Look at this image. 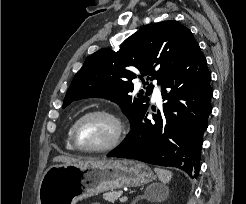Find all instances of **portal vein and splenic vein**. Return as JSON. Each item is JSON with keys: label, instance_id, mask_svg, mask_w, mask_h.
<instances>
[{"label": "portal vein and splenic vein", "instance_id": "1", "mask_svg": "<svg viewBox=\"0 0 246 204\" xmlns=\"http://www.w3.org/2000/svg\"><path fill=\"white\" fill-rule=\"evenodd\" d=\"M127 197L126 196H124V197H122V198H120V202H125V201H127Z\"/></svg>", "mask_w": 246, "mask_h": 204}]
</instances>
